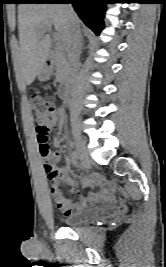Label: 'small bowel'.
I'll return each instance as SVG.
<instances>
[{
    "label": "small bowel",
    "mask_w": 166,
    "mask_h": 267,
    "mask_svg": "<svg viewBox=\"0 0 166 267\" xmlns=\"http://www.w3.org/2000/svg\"><path fill=\"white\" fill-rule=\"evenodd\" d=\"M65 122V114L63 109H58L57 115L51 118L48 123L47 127L48 130L51 128L58 126L60 129L63 127ZM61 143L60 132L53 139V145L59 146ZM60 154L59 152L51 153L50 156L46 159L51 163H56L59 160ZM58 176L55 179H52L50 191L54 198V201L59 210H61L65 215H71L73 213L79 212L88 206L94 204L98 200H106L109 198L110 190L112 186L110 184H105L99 193H90L86 197H81L78 202H72L68 200L64 194L61 192L59 188V183L57 179L64 180L70 184H72V179L68 174V167L62 166L57 168ZM103 182V178L96 174L92 176L91 179L84 181V186H89L91 184H100Z\"/></svg>",
    "instance_id": "obj_1"
}]
</instances>
